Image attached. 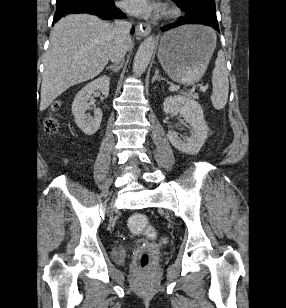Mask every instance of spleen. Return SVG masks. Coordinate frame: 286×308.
I'll return each instance as SVG.
<instances>
[{
    "mask_svg": "<svg viewBox=\"0 0 286 308\" xmlns=\"http://www.w3.org/2000/svg\"><path fill=\"white\" fill-rule=\"evenodd\" d=\"M213 92L211 102L216 110L223 109L228 100L229 80L226 69L225 55L223 51L218 52L215 68L212 72Z\"/></svg>",
    "mask_w": 286,
    "mask_h": 308,
    "instance_id": "obj_1",
    "label": "spleen"
}]
</instances>
